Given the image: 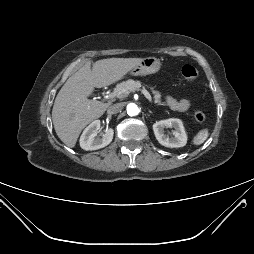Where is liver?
Masks as SVG:
<instances>
[{
    "label": "liver",
    "mask_w": 254,
    "mask_h": 254,
    "mask_svg": "<svg viewBox=\"0 0 254 254\" xmlns=\"http://www.w3.org/2000/svg\"><path fill=\"white\" fill-rule=\"evenodd\" d=\"M142 58H107L93 64L86 62L71 75L60 89L52 109L56 134L68 147L73 148L81 131L101 117L107 103L89 100L94 88L109 86L131 71Z\"/></svg>",
    "instance_id": "obj_1"
}]
</instances>
